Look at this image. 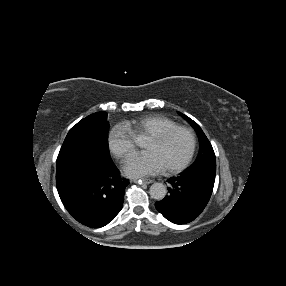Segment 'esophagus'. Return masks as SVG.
I'll return each mask as SVG.
<instances>
[{
  "instance_id": "34e87169",
  "label": "esophagus",
  "mask_w": 286,
  "mask_h": 286,
  "mask_svg": "<svg viewBox=\"0 0 286 286\" xmlns=\"http://www.w3.org/2000/svg\"><path fill=\"white\" fill-rule=\"evenodd\" d=\"M134 181L139 184H151L153 182V180L151 179H140V180H134Z\"/></svg>"
}]
</instances>
